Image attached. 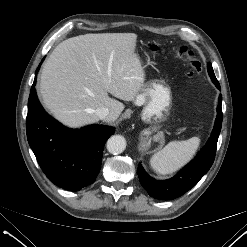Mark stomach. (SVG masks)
Returning a JSON list of instances; mask_svg holds the SVG:
<instances>
[{"label": "stomach", "instance_id": "obj_1", "mask_svg": "<svg viewBox=\"0 0 247 247\" xmlns=\"http://www.w3.org/2000/svg\"><path fill=\"white\" fill-rule=\"evenodd\" d=\"M137 106H144L141 118L145 123H160L167 119L172 107L170 87L163 80L146 82L135 98Z\"/></svg>", "mask_w": 247, "mask_h": 247}]
</instances>
